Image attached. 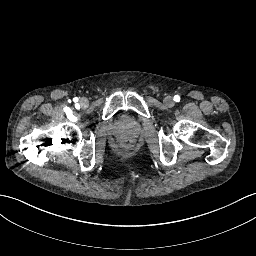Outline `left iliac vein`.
I'll return each instance as SVG.
<instances>
[{"mask_svg": "<svg viewBox=\"0 0 256 256\" xmlns=\"http://www.w3.org/2000/svg\"><path fill=\"white\" fill-rule=\"evenodd\" d=\"M164 103L167 107H173L174 106V101H173V98L171 96H166L164 98Z\"/></svg>", "mask_w": 256, "mask_h": 256, "instance_id": "1", "label": "left iliac vein"}]
</instances>
